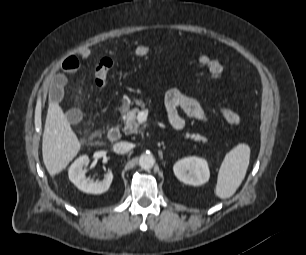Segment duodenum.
I'll list each match as a JSON object with an SVG mask.
<instances>
[{
	"label": "duodenum",
	"instance_id": "410a0bca",
	"mask_svg": "<svg viewBox=\"0 0 306 255\" xmlns=\"http://www.w3.org/2000/svg\"><path fill=\"white\" fill-rule=\"evenodd\" d=\"M108 140L111 142H116L121 137L120 128L117 125L112 126L107 134Z\"/></svg>",
	"mask_w": 306,
	"mask_h": 255
}]
</instances>
